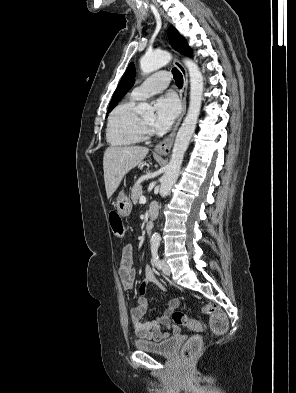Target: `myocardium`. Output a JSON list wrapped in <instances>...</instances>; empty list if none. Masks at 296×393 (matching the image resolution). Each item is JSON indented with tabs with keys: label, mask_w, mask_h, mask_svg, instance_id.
Masks as SVG:
<instances>
[{
	"label": "myocardium",
	"mask_w": 296,
	"mask_h": 393,
	"mask_svg": "<svg viewBox=\"0 0 296 393\" xmlns=\"http://www.w3.org/2000/svg\"><path fill=\"white\" fill-rule=\"evenodd\" d=\"M139 124L143 139L148 138L152 134L150 124L146 123L142 118H139Z\"/></svg>",
	"instance_id": "f54148a6"
}]
</instances>
